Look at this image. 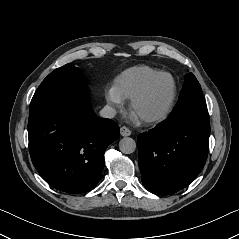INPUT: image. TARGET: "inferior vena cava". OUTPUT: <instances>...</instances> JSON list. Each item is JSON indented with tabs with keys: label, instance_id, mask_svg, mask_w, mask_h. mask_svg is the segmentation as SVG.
Instances as JSON below:
<instances>
[{
	"label": "inferior vena cava",
	"instance_id": "602c4592",
	"mask_svg": "<svg viewBox=\"0 0 239 239\" xmlns=\"http://www.w3.org/2000/svg\"><path fill=\"white\" fill-rule=\"evenodd\" d=\"M115 115L116 109L108 105L100 111V116L103 118H113Z\"/></svg>",
	"mask_w": 239,
	"mask_h": 239
}]
</instances>
